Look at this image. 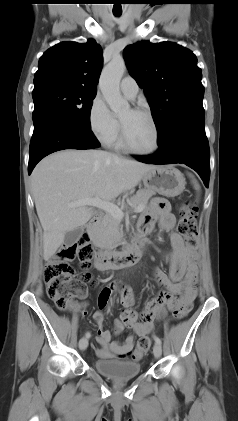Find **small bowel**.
<instances>
[{
	"instance_id": "1",
	"label": "small bowel",
	"mask_w": 238,
	"mask_h": 421,
	"mask_svg": "<svg viewBox=\"0 0 238 421\" xmlns=\"http://www.w3.org/2000/svg\"><path fill=\"white\" fill-rule=\"evenodd\" d=\"M157 221L165 231L170 232L171 251L166 254L169 275L159 268L154 269V278L162 289L141 312L132 310L134 297L129 286L113 282L102 289L98 298V310L93 315L98 326V346L94 349L100 358L123 357L134 345L133 336L127 337L121 343L115 342L112 341L111 333L104 329V311L115 294L119 295L124 311L120 319L114 322V333L119 334L125 328H130L137 336L149 334L154 329L155 322L162 319L167 310L174 309L179 302L191 305L196 297L198 265L194 250L179 233L173 231L175 217L168 202L162 198L153 199L148 210L140 217V233L144 235L151 232Z\"/></svg>"
}]
</instances>
